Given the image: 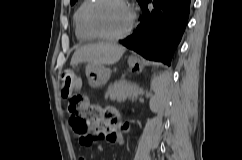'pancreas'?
<instances>
[{
	"instance_id": "pancreas-1",
	"label": "pancreas",
	"mask_w": 242,
	"mask_h": 160,
	"mask_svg": "<svg viewBox=\"0 0 242 160\" xmlns=\"http://www.w3.org/2000/svg\"><path fill=\"white\" fill-rule=\"evenodd\" d=\"M139 94H142V90H139L137 85L126 81H117L108 87L105 98L109 97L111 101L121 102L127 98L137 97Z\"/></svg>"
}]
</instances>
